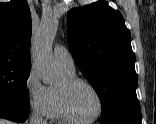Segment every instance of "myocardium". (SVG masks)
Returning <instances> with one entry per match:
<instances>
[{
  "mask_svg": "<svg viewBox=\"0 0 156 124\" xmlns=\"http://www.w3.org/2000/svg\"><path fill=\"white\" fill-rule=\"evenodd\" d=\"M76 85L87 86L93 91V93L97 97L98 105H99L98 111L93 117L89 119L79 118L78 116L74 114V112L69 106L68 93H69V90ZM56 92H57V98H58L60 110L68 121L79 123V124H88V123H92L98 120L104 112V108H105L104 99L100 91L93 83H91L90 81L86 79L76 77V76H65L62 84L56 87Z\"/></svg>",
  "mask_w": 156,
  "mask_h": 124,
  "instance_id": "myocardium-1",
  "label": "myocardium"
}]
</instances>
